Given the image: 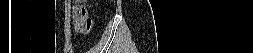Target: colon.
Wrapping results in <instances>:
<instances>
[{
	"label": "colon",
	"instance_id": "1",
	"mask_svg": "<svg viewBox=\"0 0 253 53\" xmlns=\"http://www.w3.org/2000/svg\"><path fill=\"white\" fill-rule=\"evenodd\" d=\"M73 18L75 28L78 31H89L92 21L89 17V9L84 4H78L74 7Z\"/></svg>",
	"mask_w": 253,
	"mask_h": 53
}]
</instances>
